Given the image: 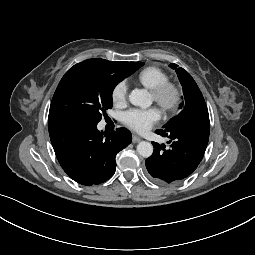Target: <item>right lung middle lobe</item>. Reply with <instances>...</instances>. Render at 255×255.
Instances as JSON below:
<instances>
[{
    "label": "right lung middle lobe",
    "instance_id": "dd1d6c3e",
    "mask_svg": "<svg viewBox=\"0 0 255 255\" xmlns=\"http://www.w3.org/2000/svg\"><path fill=\"white\" fill-rule=\"evenodd\" d=\"M143 62L119 70L106 66L69 69L61 79L51 101L48 121L77 120L98 123L112 108L115 86L135 72Z\"/></svg>",
    "mask_w": 255,
    "mask_h": 255
}]
</instances>
